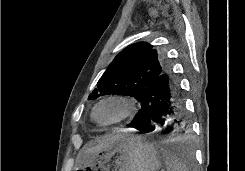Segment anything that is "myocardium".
I'll use <instances>...</instances> for the list:
<instances>
[{
    "instance_id": "1",
    "label": "myocardium",
    "mask_w": 245,
    "mask_h": 171,
    "mask_svg": "<svg viewBox=\"0 0 245 171\" xmlns=\"http://www.w3.org/2000/svg\"><path fill=\"white\" fill-rule=\"evenodd\" d=\"M106 102H117L121 104L123 106V113L117 119L113 121L104 122L100 120L97 117V110L102 104ZM135 110H136V101L132 97L125 96V95H110V96L104 97L103 99L97 102V104L95 105L93 109L92 115H93L94 120L97 123L103 126H112V125L119 124L127 120L128 118H130L135 112Z\"/></svg>"
}]
</instances>
